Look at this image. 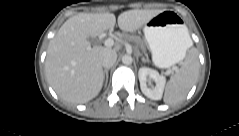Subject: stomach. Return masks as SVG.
I'll return each mask as SVG.
<instances>
[{
	"label": "stomach",
	"instance_id": "0dacf381",
	"mask_svg": "<svg viewBox=\"0 0 239 136\" xmlns=\"http://www.w3.org/2000/svg\"><path fill=\"white\" fill-rule=\"evenodd\" d=\"M143 32L153 62L159 68L182 61L190 47L187 26L174 11L165 10L154 16L144 25Z\"/></svg>",
	"mask_w": 239,
	"mask_h": 136
}]
</instances>
